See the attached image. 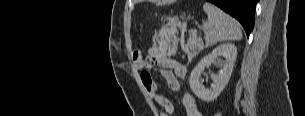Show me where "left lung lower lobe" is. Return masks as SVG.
Masks as SVG:
<instances>
[{"label": "left lung lower lobe", "mask_w": 305, "mask_h": 116, "mask_svg": "<svg viewBox=\"0 0 305 116\" xmlns=\"http://www.w3.org/2000/svg\"><path fill=\"white\" fill-rule=\"evenodd\" d=\"M236 18L244 27L247 36L254 27L255 5L258 0H207Z\"/></svg>", "instance_id": "1"}]
</instances>
